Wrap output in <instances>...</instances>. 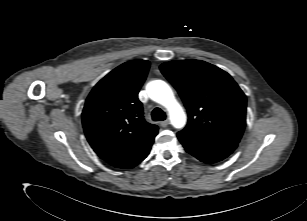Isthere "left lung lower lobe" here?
<instances>
[{"label": "left lung lower lobe", "mask_w": 307, "mask_h": 221, "mask_svg": "<svg viewBox=\"0 0 307 221\" xmlns=\"http://www.w3.org/2000/svg\"><path fill=\"white\" fill-rule=\"evenodd\" d=\"M177 137L185 150L205 163H216L228 157L238 146V143L199 137L178 132Z\"/></svg>", "instance_id": "obj_1"}]
</instances>
